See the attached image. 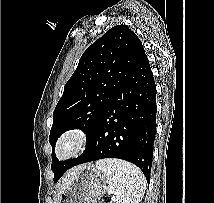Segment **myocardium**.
<instances>
[{
    "label": "myocardium",
    "instance_id": "1",
    "mask_svg": "<svg viewBox=\"0 0 214 203\" xmlns=\"http://www.w3.org/2000/svg\"><path fill=\"white\" fill-rule=\"evenodd\" d=\"M88 143V135L85 131L69 130L61 135L56 148L55 157L59 161H67L84 151Z\"/></svg>",
    "mask_w": 214,
    "mask_h": 203
}]
</instances>
